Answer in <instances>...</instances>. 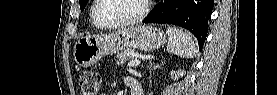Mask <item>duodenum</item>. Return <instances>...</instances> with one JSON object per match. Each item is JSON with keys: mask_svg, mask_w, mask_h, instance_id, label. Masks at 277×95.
Listing matches in <instances>:
<instances>
[{"mask_svg": "<svg viewBox=\"0 0 277 95\" xmlns=\"http://www.w3.org/2000/svg\"><path fill=\"white\" fill-rule=\"evenodd\" d=\"M129 88H130V95H141L142 94V87L139 81L136 79H131L129 81Z\"/></svg>", "mask_w": 277, "mask_h": 95, "instance_id": "410a0bca", "label": "duodenum"}]
</instances>
